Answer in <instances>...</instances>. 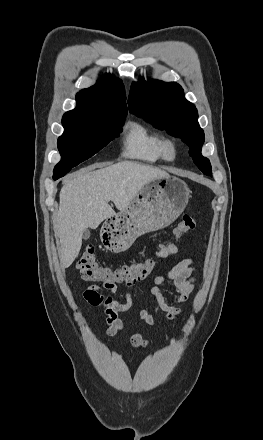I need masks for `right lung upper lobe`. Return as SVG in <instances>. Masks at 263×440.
Listing matches in <instances>:
<instances>
[{
	"label": "right lung upper lobe",
	"mask_w": 263,
	"mask_h": 440,
	"mask_svg": "<svg viewBox=\"0 0 263 440\" xmlns=\"http://www.w3.org/2000/svg\"><path fill=\"white\" fill-rule=\"evenodd\" d=\"M125 100L122 82L106 74L96 85L77 94L76 108L63 115L62 124H80L101 115H127Z\"/></svg>",
	"instance_id": "cb5924a9"
}]
</instances>
